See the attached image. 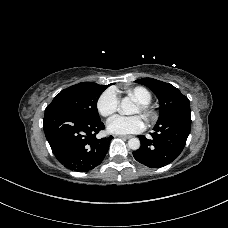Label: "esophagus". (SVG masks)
Instances as JSON below:
<instances>
[{
    "label": "esophagus",
    "mask_w": 228,
    "mask_h": 228,
    "mask_svg": "<svg viewBox=\"0 0 228 228\" xmlns=\"http://www.w3.org/2000/svg\"><path fill=\"white\" fill-rule=\"evenodd\" d=\"M118 137L124 138V139H130L132 136L131 135H119Z\"/></svg>",
    "instance_id": "1"
}]
</instances>
